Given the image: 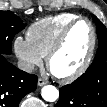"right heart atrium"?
<instances>
[{
  "label": "right heart atrium",
  "instance_id": "1",
  "mask_svg": "<svg viewBox=\"0 0 107 107\" xmlns=\"http://www.w3.org/2000/svg\"><path fill=\"white\" fill-rule=\"evenodd\" d=\"M13 49L21 66L26 71H32L43 63V56L27 38L17 36L13 41Z\"/></svg>",
  "mask_w": 107,
  "mask_h": 107
}]
</instances>
